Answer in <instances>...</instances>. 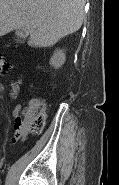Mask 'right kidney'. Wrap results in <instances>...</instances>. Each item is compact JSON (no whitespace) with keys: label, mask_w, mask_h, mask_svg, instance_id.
Wrapping results in <instances>:
<instances>
[{"label":"right kidney","mask_w":119,"mask_h":185,"mask_svg":"<svg viewBox=\"0 0 119 185\" xmlns=\"http://www.w3.org/2000/svg\"><path fill=\"white\" fill-rule=\"evenodd\" d=\"M65 60L66 56L63 50H56L50 59V65L57 69L65 63Z\"/></svg>","instance_id":"right-kidney-1"}]
</instances>
